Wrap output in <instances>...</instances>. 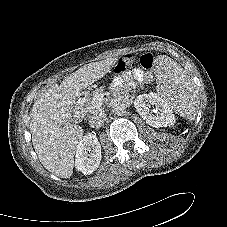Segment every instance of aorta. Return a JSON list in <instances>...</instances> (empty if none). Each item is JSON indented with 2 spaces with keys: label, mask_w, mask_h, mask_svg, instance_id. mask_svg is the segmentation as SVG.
<instances>
[{
  "label": "aorta",
  "mask_w": 227,
  "mask_h": 227,
  "mask_svg": "<svg viewBox=\"0 0 227 227\" xmlns=\"http://www.w3.org/2000/svg\"><path fill=\"white\" fill-rule=\"evenodd\" d=\"M125 110V106L122 103H115L112 106V112L116 115H121Z\"/></svg>",
  "instance_id": "obj_1"
}]
</instances>
